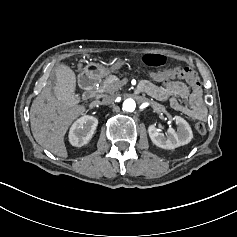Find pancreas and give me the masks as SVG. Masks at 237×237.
Masks as SVG:
<instances>
[{
  "label": "pancreas",
  "instance_id": "obj_1",
  "mask_svg": "<svg viewBox=\"0 0 237 237\" xmlns=\"http://www.w3.org/2000/svg\"><path fill=\"white\" fill-rule=\"evenodd\" d=\"M123 81L116 75H109L100 85L99 92L105 95L113 94L115 91L121 88Z\"/></svg>",
  "mask_w": 237,
  "mask_h": 237
}]
</instances>
